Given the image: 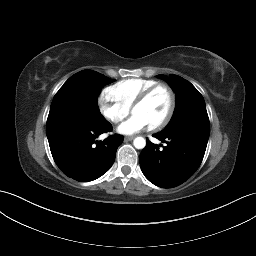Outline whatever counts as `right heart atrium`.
Masks as SVG:
<instances>
[{
	"label": "right heart atrium",
	"mask_w": 256,
	"mask_h": 256,
	"mask_svg": "<svg viewBox=\"0 0 256 256\" xmlns=\"http://www.w3.org/2000/svg\"><path fill=\"white\" fill-rule=\"evenodd\" d=\"M101 114L110 122L117 124L129 113V108L114 100L107 92H102L98 99Z\"/></svg>",
	"instance_id": "obj_1"
}]
</instances>
